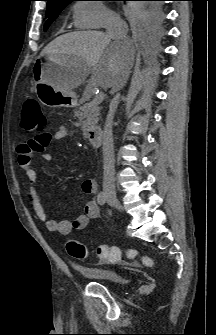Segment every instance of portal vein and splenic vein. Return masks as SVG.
Instances as JSON below:
<instances>
[{
    "instance_id": "18ae733b",
    "label": "portal vein and splenic vein",
    "mask_w": 216,
    "mask_h": 335,
    "mask_svg": "<svg viewBox=\"0 0 216 335\" xmlns=\"http://www.w3.org/2000/svg\"><path fill=\"white\" fill-rule=\"evenodd\" d=\"M104 97H105V95H104L103 92L97 94V95L94 97V99H93V101L91 102V104H92V105H98L99 103H101V102L104 100Z\"/></svg>"
}]
</instances>
